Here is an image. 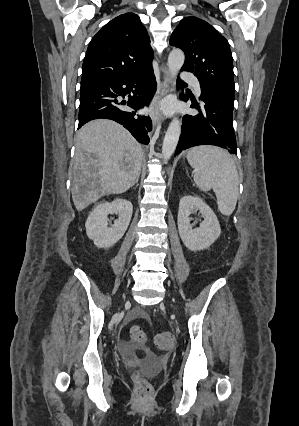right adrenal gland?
I'll use <instances>...</instances> for the list:
<instances>
[{"instance_id":"obj_1","label":"right adrenal gland","mask_w":299,"mask_h":426,"mask_svg":"<svg viewBox=\"0 0 299 426\" xmlns=\"http://www.w3.org/2000/svg\"><path fill=\"white\" fill-rule=\"evenodd\" d=\"M138 181H139V177L136 178L134 184H136V186H138Z\"/></svg>"}]
</instances>
